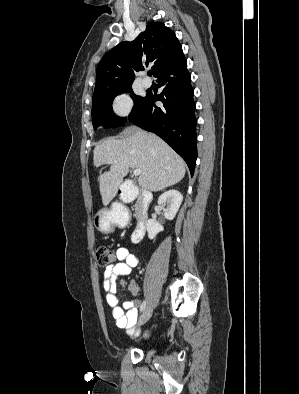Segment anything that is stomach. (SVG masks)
I'll return each instance as SVG.
<instances>
[{
	"mask_svg": "<svg viewBox=\"0 0 299 394\" xmlns=\"http://www.w3.org/2000/svg\"><path fill=\"white\" fill-rule=\"evenodd\" d=\"M116 222L115 211L109 209H102L94 216V226L103 233H109L113 229Z\"/></svg>",
	"mask_w": 299,
	"mask_h": 394,
	"instance_id": "stomach-1",
	"label": "stomach"
}]
</instances>
